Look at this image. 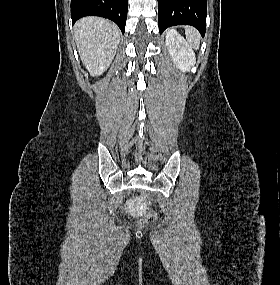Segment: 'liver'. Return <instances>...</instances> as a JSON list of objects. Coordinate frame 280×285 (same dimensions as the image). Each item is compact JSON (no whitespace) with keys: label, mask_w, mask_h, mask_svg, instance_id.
Segmentation results:
<instances>
[{"label":"liver","mask_w":280,"mask_h":285,"mask_svg":"<svg viewBox=\"0 0 280 285\" xmlns=\"http://www.w3.org/2000/svg\"><path fill=\"white\" fill-rule=\"evenodd\" d=\"M80 58L91 76H100L112 63L120 31L108 20L98 17L80 19L74 27Z\"/></svg>","instance_id":"6515ba94"}]
</instances>
